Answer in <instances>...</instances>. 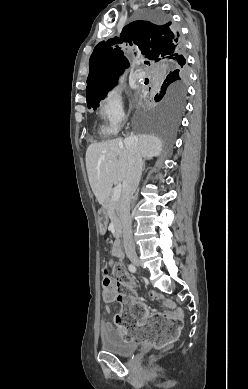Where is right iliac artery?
Wrapping results in <instances>:
<instances>
[{
	"mask_svg": "<svg viewBox=\"0 0 248 389\" xmlns=\"http://www.w3.org/2000/svg\"><path fill=\"white\" fill-rule=\"evenodd\" d=\"M128 269L131 271V272H136V268H135V266L134 265H132V264H129L128 265Z\"/></svg>",
	"mask_w": 248,
	"mask_h": 389,
	"instance_id": "82829eb1",
	"label": "right iliac artery"
}]
</instances>
